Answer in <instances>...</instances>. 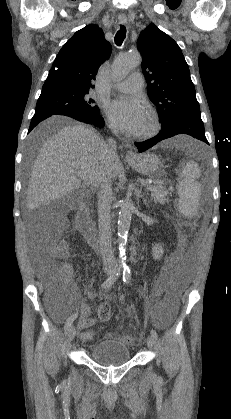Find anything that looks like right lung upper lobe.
I'll return each mask as SVG.
<instances>
[{"instance_id": "cb5924a9", "label": "right lung upper lobe", "mask_w": 231, "mask_h": 419, "mask_svg": "<svg viewBox=\"0 0 231 419\" xmlns=\"http://www.w3.org/2000/svg\"><path fill=\"white\" fill-rule=\"evenodd\" d=\"M111 54L101 28L90 24L77 31L59 51L43 86L94 87L97 71Z\"/></svg>"}]
</instances>
